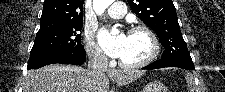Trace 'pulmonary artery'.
<instances>
[{
	"label": "pulmonary artery",
	"instance_id": "obj_1",
	"mask_svg": "<svg viewBox=\"0 0 225 92\" xmlns=\"http://www.w3.org/2000/svg\"><path fill=\"white\" fill-rule=\"evenodd\" d=\"M109 2V8L107 14L112 17L119 19L126 13V4L124 2H114L113 0H107Z\"/></svg>",
	"mask_w": 225,
	"mask_h": 92
}]
</instances>
